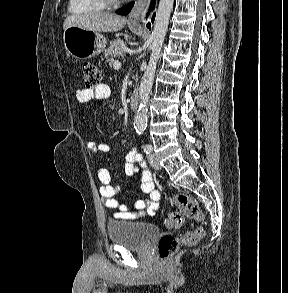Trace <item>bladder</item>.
I'll return each mask as SVG.
<instances>
[{
  "label": "bladder",
  "mask_w": 288,
  "mask_h": 293,
  "mask_svg": "<svg viewBox=\"0 0 288 293\" xmlns=\"http://www.w3.org/2000/svg\"><path fill=\"white\" fill-rule=\"evenodd\" d=\"M106 231L111 242L136 250L146 248L158 235V229L150 223L123 220L109 221Z\"/></svg>",
  "instance_id": "bladder-1"
}]
</instances>
